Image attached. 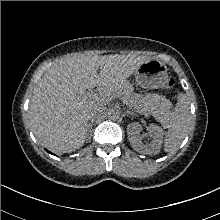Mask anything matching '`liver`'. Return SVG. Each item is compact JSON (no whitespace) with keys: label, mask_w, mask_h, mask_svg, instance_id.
<instances>
[{"label":"liver","mask_w":220,"mask_h":220,"mask_svg":"<svg viewBox=\"0 0 220 220\" xmlns=\"http://www.w3.org/2000/svg\"><path fill=\"white\" fill-rule=\"evenodd\" d=\"M146 61L142 56L115 54L78 55L55 63L33 90L29 120L35 136L56 152L82 147L90 111L105 105ZM94 87H98L97 97H86Z\"/></svg>","instance_id":"liver-1"}]
</instances>
